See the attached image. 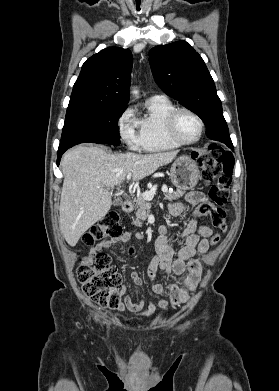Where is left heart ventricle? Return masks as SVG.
<instances>
[{
    "label": "left heart ventricle",
    "instance_id": "left-heart-ventricle-1",
    "mask_svg": "<svg viewBox=\"0 0 279 391\" xmlns=\"http://www.w3.org/2000/svg\"><path fill=\"white\" fill-rule=\"evenodd\" d=\"M176 131L181 139L191 141L199 134V124L192 115L182 112L177 118Z\"/></svg>",
    "mask_w": 279,
    "mask_h": 391
}]
</instances>
